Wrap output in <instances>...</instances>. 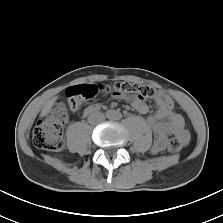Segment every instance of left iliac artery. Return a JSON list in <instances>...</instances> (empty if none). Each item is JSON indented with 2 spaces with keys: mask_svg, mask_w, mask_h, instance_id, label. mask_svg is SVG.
<instances>
[{
  "mask_svg": "<svg viewBox=\"0 0 223 223\" xmlns=\"http://www.w3.org/2000/svg\"><path fill=\"white\" fill-rule=\"evenodd\" d=\"M114 118H115L116 120H119V119L122 118V115H121L120 113H116L115 116H114Z\"/></svg>",
  "mask_w": 223,
  "mask_h": 223,
  "instance_id": "44dca946",
  "label": "left iliac artery"
}]
</instances>
